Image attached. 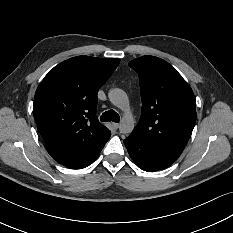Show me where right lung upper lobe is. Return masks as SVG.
Segmentation results:
<instances>
[{"label": "right lung upper lobe", "instance_id": "obj_1", "mask_svg": "<svg viewBox=\"0 0 233 233\" xmlns=\"http://www.w3.org/2000/svg\"><path fill=\"white\" fill-rule=\"evenodd\" d=\"M119 62L73 57L50 70L38 86L34 118L49 154L58 163H80L109 139L111 132L96 115L97 93Z\"/></svg>", "mask_w": 233, "mask_h": 233}]
</instances>
